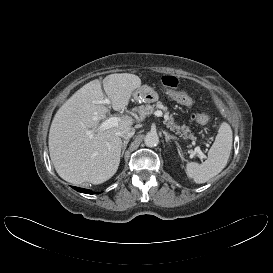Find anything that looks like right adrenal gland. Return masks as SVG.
<instances>
[{
    "label": "right adrenal gland",
    "mask_w": 273,
    "mask_h": 273,
    "mask_svg": "<svg viewBox=\"0 0 273 273\" xmlns=\"http://www.w3.org/2000/svg\"><path fill=\"white\" fill-rule=\"evenodd\" d=\"M128 142H129V139L124 140L123 143H122V153H121V157H123V155H124V152H125V150H126V147H127Z\"/></svg>",
    "instance_id": "right-adrenal-gland-1"
}]
</instances>
